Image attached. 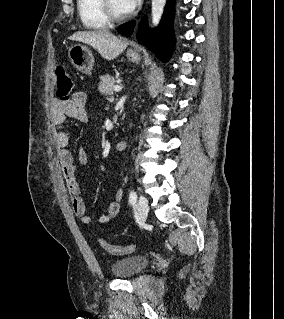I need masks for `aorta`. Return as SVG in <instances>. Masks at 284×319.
I'll return each instance as SVG.
<instances>
[{
	"label": "aorta",
	"instance_id": "1",
	"mask_svg": "<svg viewBox=\"0 0 284 319\" xmlns=\"http://www.w3.org/2000/svg\"><path fill=\"white\" fill-rule=\"evenodd\" d=\"M165 4L166 0H152L151 16L154 27H156L161 20Z\"/></svg>",
	"mask_w": 284,
	"mask_h": 319
}]
</instances>
